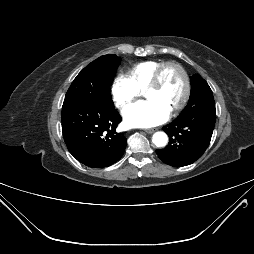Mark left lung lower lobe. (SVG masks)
<instances>
[{"mask_svg": "<svg viewBox=\"0 0 254 254\" xmlns=\"http://www.w3.org/2000/svg\"><path fill=\"white\" fill-rule=\"evenodd\" d=\"M215 121V106L187 105L176 120L162 128L169 143L166 148L156 150L158 157L173 167L192 164L207 149Z\"/></svg>", "mask_w": 254, "mask_h": 254, "instance_id": "obj_1", "label": "left lung lower lobe"}]
</instances>
